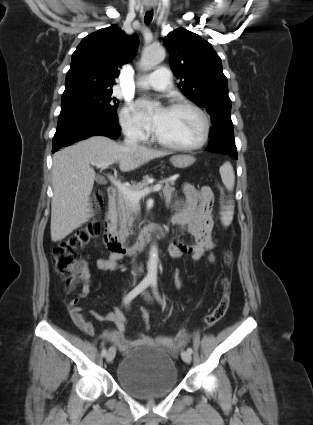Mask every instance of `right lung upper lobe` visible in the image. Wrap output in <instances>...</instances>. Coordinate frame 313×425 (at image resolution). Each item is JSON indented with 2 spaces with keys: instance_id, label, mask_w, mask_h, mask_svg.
<instances>
[{
  "instance_id": "cb5924a9",
  "label": "right lung upper lobe",
  "mask_w": 313,
  "mask_h": 425,
  "mask_svg": "<svg viewBox=\"0 0 313 425\" xmlns=\"http://www.w3.org/2000/svg\"><path fill=\"white\" fill-rule=\"evenodd\" d=\"M138 46V36L127 35L117 25L86 36L72 55L64 93L111 89L120 73L118 67L132 61Z\"/></svg>"
}]
</instances>
